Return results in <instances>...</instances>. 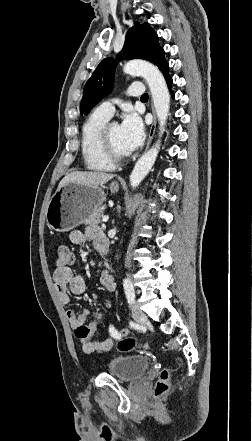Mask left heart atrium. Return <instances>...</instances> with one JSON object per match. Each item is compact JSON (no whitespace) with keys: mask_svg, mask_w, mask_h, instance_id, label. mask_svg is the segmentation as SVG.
Returning a JSON list of instances; mask_svg holds the SVG:
<instances>
[{"mask_svg":"<svg viewBox=\"0 0 252 441\" xmlns=\"http://www.w3.org/2000/svg\"><path fill=\"white\" fill-rule=\"evenodd\" d=\"M121 145L126 154L136 150L143 142L145 132L144 125L133 110L129 109L123 116L120 125Z\"/></svg>","mask_w":252,"mask_h":441,"instance_id":"obj_1","label":"left heart atrium"}]
</instances>
